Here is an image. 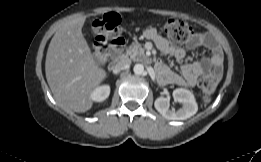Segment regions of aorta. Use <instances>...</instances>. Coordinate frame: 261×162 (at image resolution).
<instances>
[{"instance_id": "1", "label": "aorta", "mask_w": 261, "mask_h": 162, "mask_svg": "<svg viewBox=\"0 0 261 162\" xmlns=\"http://www.w3.org/2000/svg\"><path fill=\"white\" fill-rule=\"evenodd\" d=\"M133 71L136 75H141L144 73V66L142 64H135Z\"/></svg>"}]
</instances>
